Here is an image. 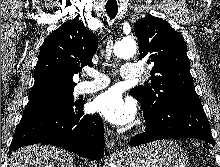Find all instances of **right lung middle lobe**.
Listing matches in <instances>:
<instances>
[{"label":"right lung middle lobe","instance_id":"obj_1","mask_svg":"<svg viewBox=\"0 0 220 167\" xmlns=\"http://www.w3.org/2000/svg\"><path fill=\"white\" fill-rule=\"evenodd\" d=\"M44 99H53L55 102H67V103H73L74 98H73V89L56 93L53 95H49L43 98L35 99V100H29L28 104L39 101V100H44Z\"/></svg>","mask_w":220,"mask_h":167}]
</instances>
